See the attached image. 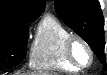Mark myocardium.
<instances>
[{"instance_id":"obj_1","label":"myocardium","mask_w":107,"mask_h":75,"mask_svg":"<svg viewBox=\"0 0 107 75\" xmlns=\"http://www.w3.org/2000/svg\"><path fill=\"white\" fill-rule=\"evenodd\" d=\"M76 42H79L82 45H84V47L87 49V51L89 53V61L86 64L80 63L74 56L73 46ZM64 51H65V56H66L67 60L73 66H75L79 69H86V68L90 67L94 61V52H93L92 47L83 37H81L77 34H70L67 37V39L65 41V45H64Z\"/></svg>"}]
</instances>
